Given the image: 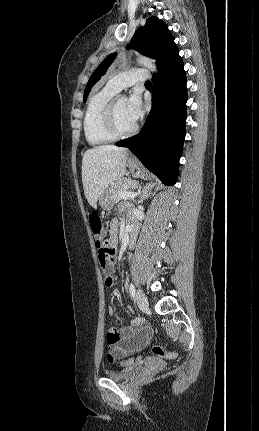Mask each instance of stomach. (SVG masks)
Here are the masks:
<instances>
[{"mask_svg": "<svg viewBox=\"0 0 259 431\" xmlns=\"http://www.w3.org/2000/svg\"><path fill=\"white\" fill-rule=\"evenodd\" d=\"M128 166L135 177H144V171L137 162L130 160L128 161ZM110 189L108 187L99 197V204L105 210H110L113 207Z\"/></svg>", "mask_w": 259, "mask_h": 431, "instance_id": "0dacf381", "label": "stomach"}]
</instances>
